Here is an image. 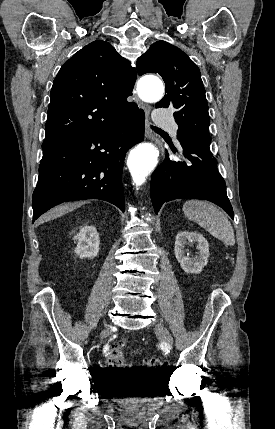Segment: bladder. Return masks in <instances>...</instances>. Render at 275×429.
<instances>
[{"instance_id": "obj_1", "label": "bladder", "mask_w": 275, "mask_h": 429, "mask_svg": "<svg viewBox=\"0 0 275 429\" xmlns=\"http://www.w3.org/2000/svg\"><path fill=\"white\" fill-rule=\"evenodd\" d=\"M110 389H106V398H116L117 403H146L154 398L156 386L153 377H108Z\"/></svg>"}]
</instances>
